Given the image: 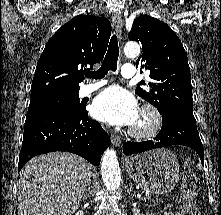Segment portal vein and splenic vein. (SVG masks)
<instances>
[{
    "mask_svg": "<svg viewBox=\"0 0 221 215\" xmlns=\"http://www.w3.org/2000/svg\"><path fill=\"white\" fill-rule=\"evenodd\" d=\"M139 198H141L142 200H144L146 197H141L140 195H138Z\"/></svg>",
    "mask_w": 221,
    "mask_h": 215,
    "instance_id": "18ae733b",
    "label": "portal vein and splenic vein"
}]
</instances>
